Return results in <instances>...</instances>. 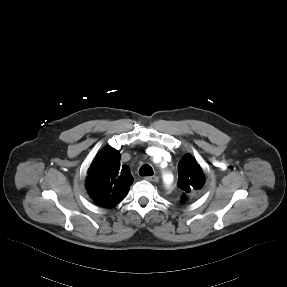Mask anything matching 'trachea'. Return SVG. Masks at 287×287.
Wrapping results in <instances>:
<instances>
[{
	"label": "trachea",
	"instance_id": "obj_1",
	"mask_svg": "<svg viewBox=\"0 0 287 287\" xmlns=\"http://www.w3.org/2000/svg\"><path fill=\"white\" fill-rule=\"evenodd\" d=\"M139 174L141 176H151L154 174L153 169L150 165L148 164H144L143 166H141V168L139 169Z\"/></svg>",
	"mask_w": 287,
	"mask_h": 287
}]
</instances>
